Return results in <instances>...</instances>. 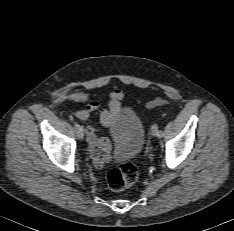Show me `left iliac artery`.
<instances>
[{
    "label": "left iliac artery",
    "instance_id": "44dca946",
    "mask_svg": "<svg viewBox=\"0 0 234 231\" xmlns=\"http://www.w3.org/2000/svg\"><path fill=\"white\" fill-rule=\"evenodd\" d=\"M164 136V133L162 130H158V137H163Z\"/></svg>",
    "mask_w": 234,
    "mask_h": 231
}]
</instances>
